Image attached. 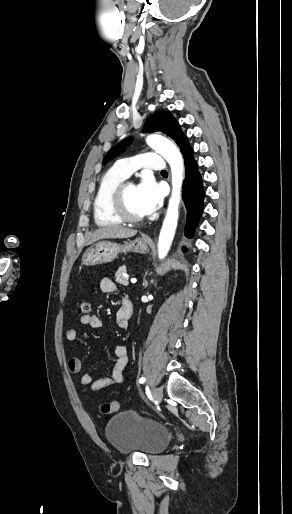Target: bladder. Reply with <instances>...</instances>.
Returning a JSON list of instances; mask_svg holds the SVG:
<instances>
[{
    "label": "bladder",
    "mask_w": 292,
    "mask_h": 514,
    "mask_svg": "<svg viewBox=\"0 0 292 514\" xmlns=\"http://www.w3.org/2000/svg\"><path fill=\"white\" fill-rule=\"evenodd\" d=\"M107 441L118 452L154 455L162 451L170 440L168 429L145 419L133 411L113 416L104 427Z\"/></svg>",
    "instance_id": "obj_1"
}]
</instances>
